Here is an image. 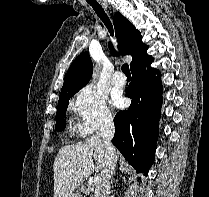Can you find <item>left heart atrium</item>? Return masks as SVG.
<instances>
[{
	"mask_svg": "<svg viewBox=\"0 0 209 197\" xmlns=\"http://www.w3.org/2000/svg\"><path fill=\"white\" fill-rule=\"evenodd\" d=\"M115 104L118 107H123L124 106V99L122 97L115 98Z\"/></svg>",
	"mask_w": 209,
	"mask_h": 197,
	"instance_id": "obj_1",
	"label": "left heart atrium"
}]
</instances>
